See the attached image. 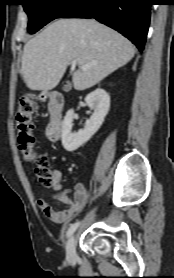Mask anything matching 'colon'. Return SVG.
Returning <instances> with one entry per match:
<instances>
[{
    "label": "colon",
    "instance_id": "1",
    "mask_svg": "<svg viewBox=\"0 0 174 278\" xmlns=\"http://www.w3.org/2000/svg\"><path fill=\"white\" fill-rule=\"evenodd\" d=\"M37 109L32 97H23L15 113L18 148L27 160L36 159L35 175L41 185L51 188L55 181V173L51 169L49 158L46 155L36 156L33 148V125L31 118Z\"/></svg>",
    "mask_w": 174,
    "mask_h": 278
}]
</instances>
